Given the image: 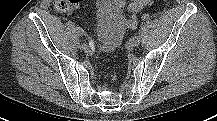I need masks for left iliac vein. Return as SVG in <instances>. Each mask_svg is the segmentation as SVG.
Returning <instances> with one entry per match:
<instances>
[{"label": "left iliac vein", "instance_id": "1", "mask_svg": "<svg viewBox=\"0 0 217 121\" xmlns=\"http://www.w3.org/2000/svg\"><path fill=\"white\" fill-rule=\"evenodd\" d=\"M140 41H141L140 36L135 35L129 40V45L132 47H136L140 44Z\"/></svg>", "mask_w": 217, "mask_h": 121}]
</instances>
